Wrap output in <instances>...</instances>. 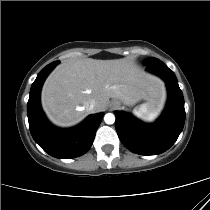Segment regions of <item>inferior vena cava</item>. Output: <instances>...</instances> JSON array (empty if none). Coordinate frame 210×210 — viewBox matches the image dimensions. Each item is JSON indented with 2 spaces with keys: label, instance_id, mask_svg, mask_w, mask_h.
<instances>
[{
  "label": "inferior vena cava",
  "instance_id": "inferior-vena-cava-1",
  "mask_svg": "<svg viewBox=\"0 0 210 210\" xmlns=\"http://www.w3.org/2000/svg\"><path fill=\"white\" fill-rule=\"evenodd\" d=\"M95 106H96V102L94 100H91V101H89V103H87V109L89 111H93Z\"/></svg>",
  "mask_w": 210,
  "mask_h": 210
}]
</instances>
